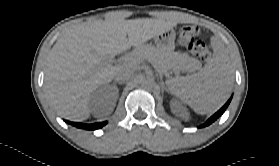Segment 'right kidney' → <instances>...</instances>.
Here are the masks:
<instances>
[{"label": "right kidney", "instance_id": "ca27d5eb", "mask_svg": "<svg viewBox=\"0 0 279 166\" xmlns=\"http://www.w3.org/2000/svg\"><path fill=\"white\" fill-rule=\"evenodd\" d=\"M118 97V90H112L111 88L103 87L96 90L90 97L92 104L100 103L104 100L114 99Z\"/></svg>", "mask_w": 279, "mask_h": 166}]
</instances>
